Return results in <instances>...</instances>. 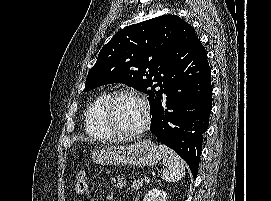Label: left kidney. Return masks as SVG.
Returning a JSON list of instances; mask_svg holds the SVG:
<instances>
[{
	"label": "left kidney",
	"mask_w": 271,
	"mask_h": 201,
	"mask_svg": "<svg viewBox=\"0 0 271 201\" xmlns=\"http://www.w3.org/2000/svg\"><path fill=\"white\" fill-rule=\"evenodd\" d=\"M143 201H167L166 193L157 188L151 189L144 197Z\"/></svg>",
	"instance_id": "obj_1"
}]
</instances>
